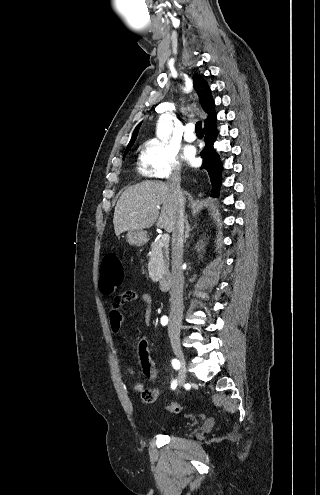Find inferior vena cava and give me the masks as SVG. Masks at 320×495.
<instances>
[{"instance_id":"602c4592","label":"inferior vena cava","mask_w":320,"mask_h":495,"mask_svg":"<svg viewBox=\"0 0 320 495\" xmlns=\"http://www.w3.org/2000/svg\"><path fill=\"white\" fill-rule=\"evenodd\" d=\"M180 171L175 170L168 182L170 191L177 203L175 224L172 231V271L170 291V331H179L183 315V284L182 252L184 242V197L180 188Z\"/></svg>"}]
</instances>
